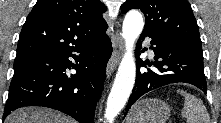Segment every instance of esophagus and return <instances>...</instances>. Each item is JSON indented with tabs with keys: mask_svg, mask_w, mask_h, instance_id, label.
<instances>
[{
	"mask_svg": "<svg viewBox=\"0 0 221 123\" xmlns=\"http://www.w3.org/2000/svg\"><path fill=\"white\" fill-rule=\"evenodd\" d=\"M115 40H116L117 48L113 51V53L108 61V64H107V68H106L107 78H109L112 75V73L114 72V70L120 60L121 53L123 51L122 38L117 34Z\"/></svg>",
	"mask_w": 221,
	"mask_h": 123,
	"instance_id": "34e87169",
	"label": "esophagus"
}]
</instances>
